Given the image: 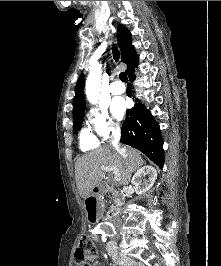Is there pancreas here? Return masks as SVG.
Here are the masks:
<instances>
[{
  "instance_id": "cf45deb5",
  "label": "pancreas",
  "mask_w": 221,
  "mask_h": 266,
  "mask_svg": "<svg viewBox=\"0 0 221 266\" xmlns=\"http://www.w3.org/2000/svg\"><path fill=\"white\" fill-rule=\"evenodd\" d=\"M123 198H121L117 193H113V203L114 205L112 206L113 209H118L122 204Z\"/></svg>"
}]
</instances>
